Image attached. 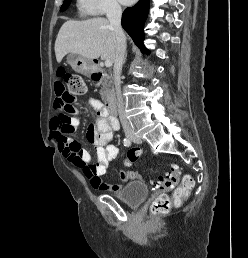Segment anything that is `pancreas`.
Segmentation results:
<instances>
[{"label": "pancreas", "instance_id": "cf45deb5", "mask_svg": "<svg viewBox=\"0 0 248 258\" xmlns=\"http://www.w3.org/2000/svg\"><path fill=\"white\" fill-rule=\"evenodd\" d=\"M102 88H101V98L102 100H107L108 95L112 90V81L109 75H105L100 81Z\"/></svg>", "mask_w": 248, "mask_h": 258}]
</instances>
